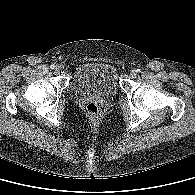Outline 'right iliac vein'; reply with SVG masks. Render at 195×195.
Returning a JSON list of instances; mask_svg holds the SVG:
<instances>
[{"label":"right iliac vein","mask_w":195,"mask_h":195,"mask_svg":"<svg viewBox=\"0 0 195 195\" xmlns=\"http://www.w3.org/2000/svg\"><path fill=\"white\" fill-rule=\"evenodd\" d=\"M55 72H56V73H60V67H59V66H56V67H55Z\"/></svg>","instance_id":"obj_1"}]
</instances>
